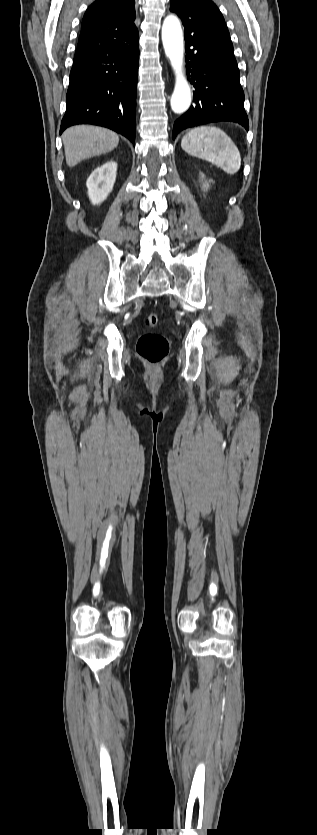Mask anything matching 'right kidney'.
<instances>
[{
  "label": "right kidney",
  "mask_w": 317,
  "mask_h": 835,
  "mask_svg": "<svg viewBox=\"0 0 317 835\" xmlns=\"http://www.w3.org/2000/svg\"><path fill=\"white\" fill-rule=\"evenodd\" d=\"M117 163L108 161L96 168L87 179L88 196L94 205L102 203L112 191L116 180Z\"/></svg>",
  "instance_id": "right-kidney-1"
}]
</instances>
